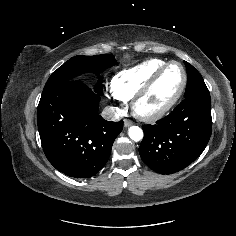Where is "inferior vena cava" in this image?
<instances>
[{"instance_id": "inferior-vena-cava-1", "label": "inferior vena cava", "mask_w": 236, "mask_h": 236, "mask_svg": "<svg viewBox=\"0 0 236 236\" xmlns=\"http://www.w3.org/2000/svg\"><path fill=\"white\" fill-rule=\"evenodd\" d=\"M102 117L106 120H118L120 117V113L118 110H116L114 107L107 106L102 111Z\"/></svg>"}]
</instances>
